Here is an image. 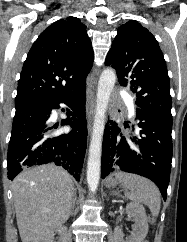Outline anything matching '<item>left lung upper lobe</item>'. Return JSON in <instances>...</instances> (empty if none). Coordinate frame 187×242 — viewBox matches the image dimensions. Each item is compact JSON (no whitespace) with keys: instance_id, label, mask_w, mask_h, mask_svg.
<instances>
[{"instance_id":"left-lung-upper-lobe-1","label":"left lung upper lobe","mask_w":187,"mask_h":242,"mask_svg":"<svg viewBox=\"0 0 187 242\" xmlns=\"http://www.w3.org/2000/svg\"><path fill=\"white\" fill-rule=\"evenodd\" d=\"M117 32L105 65L116 70L120 85L130 84L137 107L172 117L168 70L157 40L134 20Z\"/></svg>"}]
</instances>
